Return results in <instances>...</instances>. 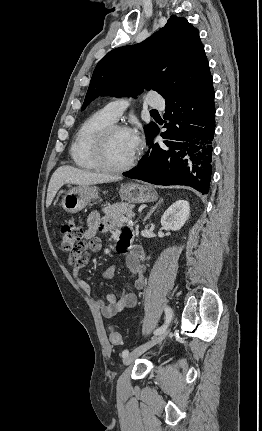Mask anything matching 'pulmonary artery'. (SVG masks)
Returning <instances> with one entry per match:
<instances>
[{"instance_id": "1", "label": "pulmonary artery", "mask_w": 262, "mask_h": 431, "mask_svg": "<svg viewBox=\"0 0 262 431\" xmlns=\"http://www.w3.org/2000/svg\"><path fill=\"white\" fill-rule=\"evenodd\" d=\"M147 103L150 106L163 109L165 108V102L163 98L157 94H149L146 97ZM129 105V101L126 99H117L109 102L105 107L104 111L114 121H116L126 110Z\"/></svg>"}]
</instances>
